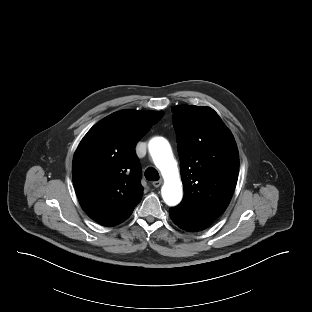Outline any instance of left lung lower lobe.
<instances>
[{
    "mask_svg": "<svg viewBox=\"0 0 312 312\" xmlns=\"http://www.w3.org/2000/svg\"><path fill=\"white\" fill-rule=\"evenodd\" d=\"M173 222L180 228L187 231H200L211 225V222L197 219L187 213H184L176 207L169 210Z\"/></svg>",
    "mask_w": 312,
    "mask_h": 312,
    "instance_id": "left-lung-lower-lobe-1",
    "label": "left lung lower lobe"
}]
</instances>
